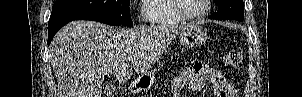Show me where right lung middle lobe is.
<instances>
[{
  "label": "right lung middle lobe",
  "mask_w": 302,
  "mask_h": 97,
  "mask_svg": "<svg viewBox=\"0 0 302 97\" xmlns=\"http://www.w3.org/2000/svg\"><path fill=\"white\" fill-rule=\"evenodd\" d=\"M130 0H56L49 21L82 13L98 14L132 26Z\"/></svg>",
  "instance_id": "right-lung-middle-lobe-1"
}]
</instances>
